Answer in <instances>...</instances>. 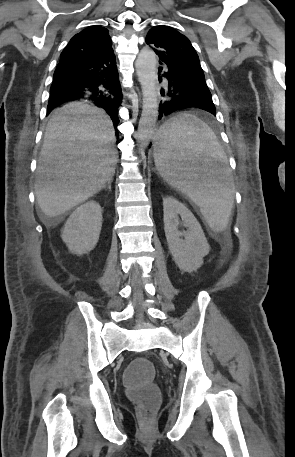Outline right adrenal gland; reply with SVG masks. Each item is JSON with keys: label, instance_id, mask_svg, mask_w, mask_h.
Returning <instances> with one entry per match:
<instances>
[{"label": "right adrenal gland", "instance_id": "2a0ac1e0", "mask_svg": "<svg viewBox=\"0 0 295 457\" xmlns=\"http://www.w3.org/2000/svg\"><path fill=\"white\" fill-rule=\"evenodd\" d=\"M111 183H112V180L108 181L107 185H105L103 187V189H108L109 191H111Z\"/></svg>", "mask_w": 295, "mask_h": 457}]
</instances>
